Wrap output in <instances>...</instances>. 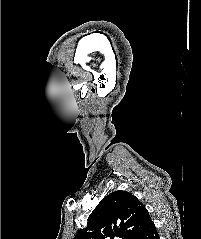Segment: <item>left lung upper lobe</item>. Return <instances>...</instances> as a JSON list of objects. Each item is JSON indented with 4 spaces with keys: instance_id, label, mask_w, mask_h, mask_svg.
Here are the masks:
<instances>
[{
    "instance_id": "1",
    "label": "left lung upper lobe",
    "mask_w": 201,
    "mask_h": 239,
    "mask_svg": "<svg viewBox=\"0 0 201 239\" xmlns=\"http://www.w3.org/2000/svg\"><path fill=\"white\" fill-rule=\"evenodd\" d=\"M151 220L144 205L127 191L105 196L74 239H134Z\"/></svg>"
}]
</instances>
